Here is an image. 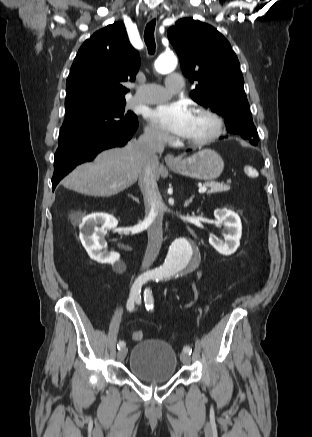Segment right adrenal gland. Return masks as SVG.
<instances>
[{
	"label": "right adrenal gland",
	"mask_w": 312,
	"mask_h": 437,
	"mask_svg": "<svg viewBox=\"0 0 312 437\" xmlns=\"http://www.w3.org/2000/svg\"><path fill=\"white\" fill-rule=\"evenodd\" d=\"M134 201H136L137 203H139V199L134 197L133 195H129Z\"/></svg>",
	"instance_id": "1"
}]
</instances>
